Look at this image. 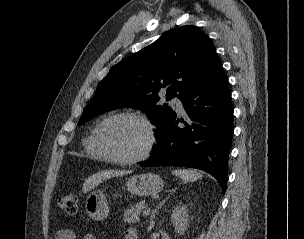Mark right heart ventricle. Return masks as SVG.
<instances>
[{"mask_svg":"<svg viewBox=\"0 0 304 239\" xmlns=\"http://www.w3.org/2000/svg\"><path fill=\"white\" fill-rule=\"evenodd\" d=\"M97 126L92 129L90 134L84 140V149L88 156L95 159H106L104 155L98 150L94 142V134Z\"/></svg>","mask_w":304,"mask_h":239,"instance_id":"right-heart-ventricle-1","label":"right heart ventricle"}]
</instances>
